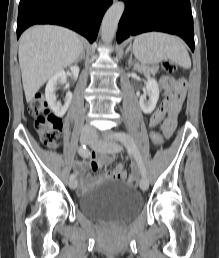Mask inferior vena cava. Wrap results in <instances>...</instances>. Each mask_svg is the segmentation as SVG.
<instances>
[{
	"mask_svg": "<svg viewBox=\"0 0 219 258\" xmlns=\"http://www.w3.org/2000/svg\"><path fill=\"white\" fill-rule=\"evenodd\" d=\"M84 129H85L86 131H88V132H94V129H93L91 126H89V125H86V126L84 127Z\"/></svg>",
	"mask_w": 219,
	"mask_h": 258,
	"instance_id": "602c4592",
	"label": "inferior vena cava"
}]
</instances>
